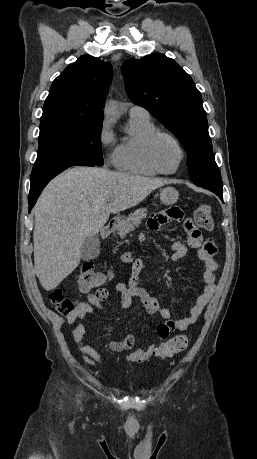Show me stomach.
Segmentation results:
<instances>
[{
    "mask_svg": "<svg viewBox=\"0 0 257 459\" xmlns=\"http://www.w3.org/2000/svg\"><path fill=\"white\" fill-rule=\"evenodd\" d=\"M160 200L163 204L171 205L178 200V191L174 187H165L160 191ZM123 221L119 222L121 225Z\"/></svg>",
    "mask_w": 257,
    "mask_h": 459,
    "instance_id": "obj_1",
    "label": "stomach"
}]
</instances>
